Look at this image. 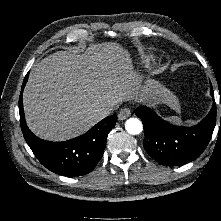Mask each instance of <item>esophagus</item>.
Returning a JSON list of instances; mask_svg holds the SVG:
<instances>
[{"mask_svg": "<svg viewBox=\"0 0 221 221\" xmlns=\"http://www.w3.org/2000/svg\"><path fill=\"white\" fill-rule=\"evenodd\" d=\"M130 116V110L128 108H124L119 113V119L124 120Z\"/></svg>", "mask_w": 221, "mask_h": 221, "instance_id": "obj_1", "label": "esophagus"}]
</instances>
